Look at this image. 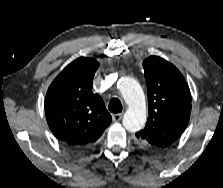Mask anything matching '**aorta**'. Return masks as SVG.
<instances>
[{"label":"aorta","instance_id":"762f6f07","mask_svg":"<svg viewBox=\"0 0 223 188\" xmlns=\"http://www.w3.org/2000/svg\"><path fill=\"white\" fill-rule=\"evenodd\" d=\"M118 88L128 105L123 126L129 132L141 130L146 122V101L141 86L133 78L123 77L118 82Z\"/></svg>","mask_w":223,"mask_h":188}]
</instances>
